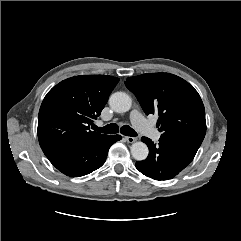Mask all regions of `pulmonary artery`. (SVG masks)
<instances>
[{
    "mask_svg": "<svg viewBox=\"0 0 241 241\" xmlns=\"http://www.w3.org/2000/svg\"><path fill=\"white\" fill-rule=\"evenodd\" d=\"M130 120L138 131L155 141L159 140L161 136L160 132L152 124L146 121L137 110L131 112Z\"/></svg>",
    "mask_w": 241,
    "mask_h": 241,
    "instance_id": "pulmonary-artery-1",
    "label": "pulmonary artery"
}]
</instances>
